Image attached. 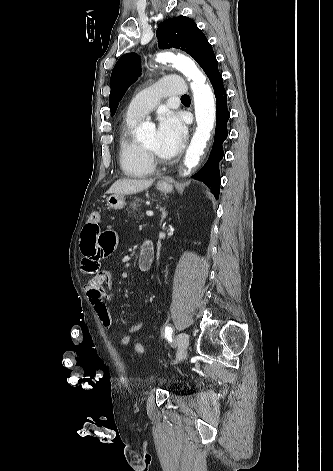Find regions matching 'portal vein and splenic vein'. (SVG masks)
I'll list each match as a JSON object with an SVG mask.
<instances>
[{"instance_id": "obj_1", "label": "portal vein and splenic vein", "mask_w": 333, "mask_h": 471, "mask_svg": "<svg viewBox=\"0 0 333 471\" xmlns=\"http://www.w3.org/2000/svg\"><path fill=\"white\" fill-rule=\"evenodd\" d=\"M146 215L149 216V217H151V216H153V212L150 211V210H148V211H146Z\"/></svg>"}]
</instances>
